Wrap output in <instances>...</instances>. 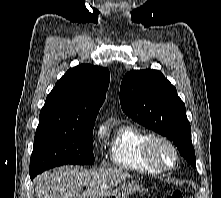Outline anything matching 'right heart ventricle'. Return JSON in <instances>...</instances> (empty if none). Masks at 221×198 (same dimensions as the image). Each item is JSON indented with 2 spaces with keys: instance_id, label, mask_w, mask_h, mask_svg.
Here are the masks:
<instances>
[{
  "instance_id": "e07e8e85",
  "label": "right heart ventricle",
  "mask_w": 221,
  "mask_h": 198,
  "mask_svg": "<svg viewBox=\"0 0 221 198\" xmlns=\"http://www.w3.org/2000/svg\"><path fill=\"white\" fill-rule=\"evenodd\" d=\"M149 133L131 124L120 126L109 145L111 162L124 170L155 174L160 171L146 162L143 145Z\"/></svg>"
}]
</instances>
